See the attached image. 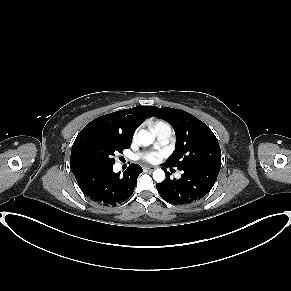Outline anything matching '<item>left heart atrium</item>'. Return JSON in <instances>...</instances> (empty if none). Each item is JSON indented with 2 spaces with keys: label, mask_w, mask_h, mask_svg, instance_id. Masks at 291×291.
<instances>
[{
  "label": "left heart atrium",
  "mask_w": 291,
  "mask_h": 291,
  "mask_svg": "<svg viewBox=\"0 0 291 291\" xmlns=\"http://www.w3.org/2000/svg\"><path fill=\"white\" fill-rule=\"evenodd\" d=\"M160 155L161 154L157 152H149L146 153L143 157L148 162H155Z\"/></svg>",
  "instance_id": "1"
}]
</instances>
